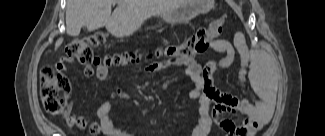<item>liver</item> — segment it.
<instances>
[{
  "label": "liver",
  "instance_id": "1",
  "mask_svg": "<svg viewBox=\"0 0 325 136\" xmlns=\"http://www.w3.org/2000/svg\"><path fill=\"white\" fill-rule=\"evenodd\" d=\"M118 6L111 14V5ZM184 0H68L66 6V33L78 36L83 26L88 31L103 26L117 38L128 37L151 16L177 8ZM63 38L55 43V50Z\"/></svg>",
  "mask_w": 325,
  "mask_h": 136
}]
</instances>
